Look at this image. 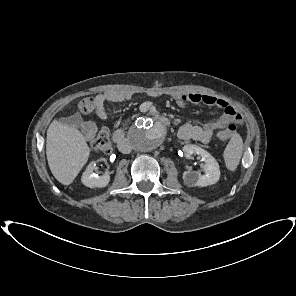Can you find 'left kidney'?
<instances>
[{"label":"left kidney","mask_w":296,"mask_h":296,"mask_svg":"<svg viewBox=\"0 0 296 296\" xmlns=\"http://www.w3.org/2000/svg\"><path fill=\"white\" fill-rule=\"evenodd\" d=\"M185 157L192 159L194 155H199L205 162L204 174L186 170L183 173L184 184L188 187H205L218 182L220 178L219 164L216 159L206 150L193 144H187L183 147Z\"/></svg>","instance_id":"obj_1"}]
</instances>
